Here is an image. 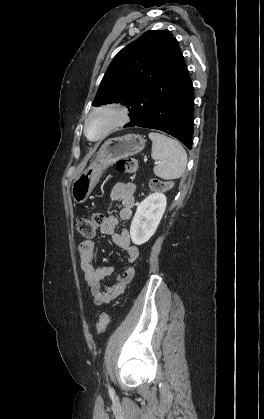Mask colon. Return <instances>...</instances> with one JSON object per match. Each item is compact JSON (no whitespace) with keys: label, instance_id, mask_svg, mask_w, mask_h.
<instances>
[{"label":"colon","instance_id":"1","mask_svg":"<svg viewBox=\"0 0 264 419\" xmlns=\"http://www.w3.org/2000/svg\"><path fill=\"white\" fill-rule=\"evenodd\" d=\"M116 169L121 173L136 174L139 171V164L133 158H121L116 162ZM150 186L153 191L164 192L172 186V183L170 181L152 180ZM103 221L104 216L101 213L83 217L78 221V232L86 238H91L95 235L96 230ZM108 323L109 319L107 314H100L96 325L97 333L102 334L107 328Z\"/></svg>","mask_w":264,"mask_h":419}]
</instances>
